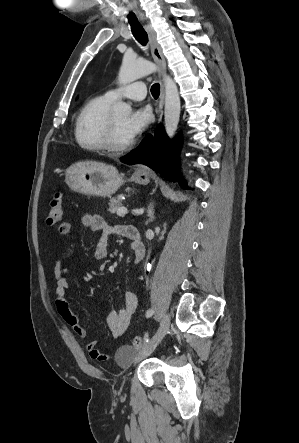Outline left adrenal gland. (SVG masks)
I'll use <instances>...</instances> for the list:
<instances>
[{
    "label": "left adrenal gland",
    "mask_w": 299,
    "mask_h": 443,
    "mask_svg": "<svg viewBox=\"0 0 299 443\" xmlns=\"http://www.w3.org/2000/svg\"><path fill=\"white\" fill-rule=\"evenodd\" d=\"M147 213H148L149 219L146 222V224H148L149 222H153V220L155 219V217H154V206H153L152 203L149 205Z\"/></svg>",
    "instance_id": "left-adrenal-gland-1"
}]
</instances>
